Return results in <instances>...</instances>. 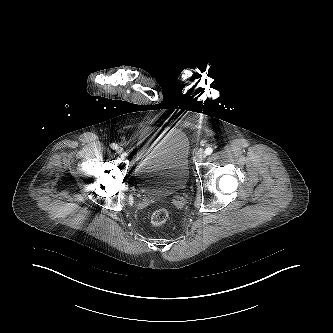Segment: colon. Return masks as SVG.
<instances>
[{
	"label": "colon",
	"mask_w": 333,
	"mask_h": 333,
	"mask_svg": "<svg viewBox=\"0 0 333 333\" xmlns=\"http://www.w3.org/2000/svg\"><path fill=\"white\" fill-rule=\"evenodd\" d=\"M169 213L165 208H158L154 210L150 215V222L154 226H160L166 223L168 220Z\"/></svg>",
	"instance_id": "colon-1"
}]
</instances>
